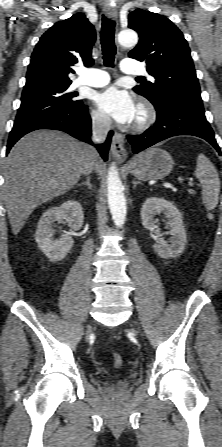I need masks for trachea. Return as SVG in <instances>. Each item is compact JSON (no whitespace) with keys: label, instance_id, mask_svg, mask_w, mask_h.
Listing matches in <instances>:
<instances>
[{"label":"trachea","instance_id":"3493384b","mask_svg":"<svg viewBox=\"0 0 222 447\" xmlns=\"http://www.w3.org/2000/svg\"><path fill=\"white\" fill-rule=\"evenodd\" d=\"M115 22L105 16L102 18L101 46L103 52V62L107 67H114L116 46L114 42ZM137 79H144L137 77Z\"/></svg>","mask_w":222,"mask_h":447}]
</instances>
